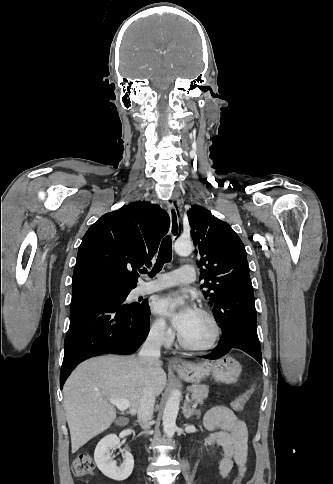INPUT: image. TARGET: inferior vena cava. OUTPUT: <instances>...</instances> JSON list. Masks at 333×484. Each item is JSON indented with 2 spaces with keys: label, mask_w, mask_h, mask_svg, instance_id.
Here are the masks:
<instances>
[{
  "label": "inferior vena cava",
  "mask_w": 333,
  "mask_h": 484,
  "mask_svg": "<svg viewBox=\"0 0 333 484\" xmlns=\"http://www.w3.org/2000/svg\"><path fill=\"white\" fill-rule=\"evenodd\" d=\"M162 341L163 330H151L138 354L139 360L143 364H149L153 361L159 360ZM154 404L155 393L149 385H146L142 392L140 406L137 413L138 422L146 431H148L150 428L149 422L153 416Z\"/></svg>",
  "instance_id": "obj_1"
}]
</instances>
